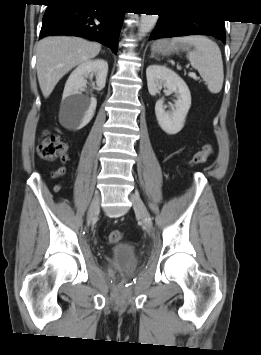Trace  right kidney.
<instances>
[{"instance_id":"obj_1","label":"right kidney","mask_w":261,"mask_h":355,"mask_svg":"<svg viewBox=\"0 0 261 355\" xmlns=\"http://www.w3.org/2000/svg\"><path fill=\"white\" fill-rule=\"evenodd\" d=\"M108 73V63L103 59L88 60L80 64L69 76L63 91L60 117L62 123L75 130L86 126L92 117L97 105L94 97L90 99L82 95L89 76L96 77L99 89L105 87Z\"/></svg>"}]
</instances>
